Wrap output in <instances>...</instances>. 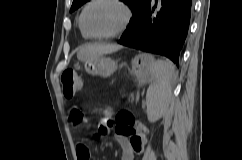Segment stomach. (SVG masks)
Segmentation results:
<instances>
[{
    "label": "stomach",
    "mask_w": 242,
    "mask_h": 160,
    "mask_svg": "<svg viewBox=\"0 0 242 160\" xmlns=\"http://www.w3.org/2000/svg\"><path fill=\"white\" fill-rule=\"evenodd\" d=\"M149 63L150 59L147 54L136 56L132 62L133 73L140 83H145L152 79ZM84 68L90 75L109 77L117 69V63L110 57L99 56L94 59L86 60Z\"/></svg>",
    "instance_id": "stomach-1"
}]
</instances>
